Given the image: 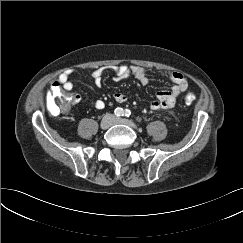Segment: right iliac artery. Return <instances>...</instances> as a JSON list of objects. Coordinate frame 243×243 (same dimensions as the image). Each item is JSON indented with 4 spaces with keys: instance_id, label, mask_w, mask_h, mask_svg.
Instances as JSON below:
<instances>
[{
    "instance_id": "1",
    "label": "right iliac artery",
    "mask_w": 243,
    "mask_h": 243,
    "mask_svg": "<svg viewBox=\"0 0 243 243\" xmlns=\"http://www.w3.org/2000/svg\"><path fill=\"white\" fill-rule=\"evenodd\" d=\"M115 116L120 117L124 115V110L122 108H116L114 111Z\"/></svg>"
}]
</instances>
